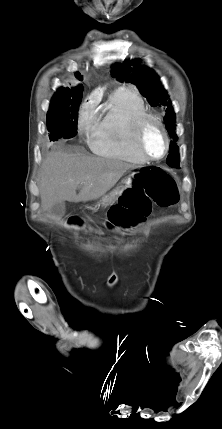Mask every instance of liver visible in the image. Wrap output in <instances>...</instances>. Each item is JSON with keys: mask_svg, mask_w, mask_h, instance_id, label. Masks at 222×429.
<instances>
[{"mask_svg": "<svg viewBox=\"0 0 222 429\" xmlns=\"http://www.w3.org/2000/svg\"><path fill=\"white\" fill-rule=\"evenodd\" d=\"M136 166L116 159L81 153L50 152L43 161L39 190L44 212L64 201L87 202L108 192L119 179ZM82 186L79 194L76 190Z\"/></svg>", "mask_w": 222, "mask_h": 429, "instance_id": "obj_1", "label": "liver"}]
</instances>
